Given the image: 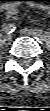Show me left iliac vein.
<instances>
[{"instance_id":"left-iliac-vein-1","label":"left iliac vein","mask_w":50,"mask_h":111,"mask_svg":"<svg viewBox=\"0 0 50 111\" xmlns=\"http://www.w3.org/2000/svg\"><path fill=\"white\" fill-rule=\"evenodd\" d=\"M21 34L26 35V36H35V34L33 33V31L24 28L20 31Z\"/></svg>"}]
</instances>
